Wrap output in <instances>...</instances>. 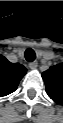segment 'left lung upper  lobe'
Here are the masks:
<instances>
[{
    "mask_svg": "<svg viewBox=\"0 0 63 123\" xmlns=\"http://www.w3.org/2000/svg\"><path fill=\"white\" fill-rule=\"evenodd\" d=\"M48 96L56 103H63V64L50 67L42 73Z\"/></svg>",
    "mask_w": 63,
    "mask_h": 123,
    "instance_id": "5c2ea615",
    "label": "left lung upper lobe"
}]
</instances>
